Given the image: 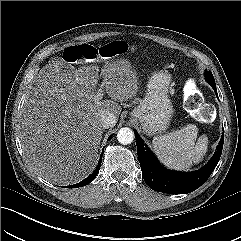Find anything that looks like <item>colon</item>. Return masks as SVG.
I'll use <instances>...</instances> for the list:
<instances>
[{"label": "colon", "mask_w": 241, "mask_h": 241, "mask_svg": "<svg viewBox=\"0 0 241 241\" xmlns=\"http://www.w3.org/2000/svg\"><path fill=\"white\" fill-rule=\"evenodd\" d=\"M127 49L128 47L123 42H111L100 47L87 44L72 46L64 51L63 59L68 63L84 64L113 57L125 52ZM184 103L192 116L202 121L212 120L213 109L204 104L203 98L194 84L187 88Z\"/></svg>", "instance_id": "obj_1"}]
</instances>
